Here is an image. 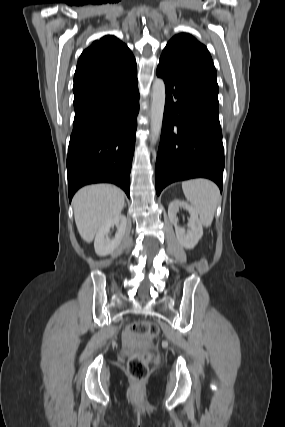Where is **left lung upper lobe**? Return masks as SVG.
I'll list each match as a JSON object with an SVG mask.
<instances>
[{
    "label": "left lung upper lobe",
    "mask_w": 285,
    "mask_h": 427,
    "mask_svg": "<svg viewBox=\"0 0 285 427\" xmlns=\"http://www.w3.org/2000/svg\"><path fill=\"white\" fill-rule=\"evenodd\" d=\"M159 61L218 93L217 73L210 53L190 34L175 35L166 45Z\"/></svg>",
    "instance_id": "5c2ea615"
}]
</instances>
